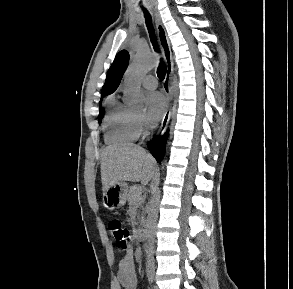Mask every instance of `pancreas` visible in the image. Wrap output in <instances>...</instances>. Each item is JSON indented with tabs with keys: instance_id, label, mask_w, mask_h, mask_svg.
Wrapping results in <instances>:
<instances>
[{
	"instance_id": "1",
	"label": "pancreas",
	"mask_w": 293,
	"mask_h": 289,
	"mask_svg": "<svg viewBox=\"0 0 293 289\" xmlns=\"http://www.w3.org/2000/svg\"><path fill=\"white\" fill-rule=\"evenodd\" d=\"M142 189L139 186H132L128 192L127 198L130 209H136L143 202Z\"/></svg>"
}]
</instances>
